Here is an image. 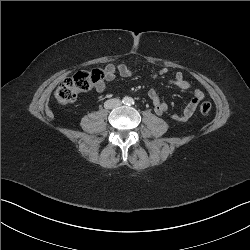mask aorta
<instances>
[{"mask_svg":"<svg viewBox=\"0 0 250 250\" xmlns=\"http://www.w3.org/2000/svg\"><path fill=\"white\" fill-rule=\"evenodd\" d=\"M132 101H133V99H132V98H129V97L126 98V100H125V102L128 103V104H130Z\"/></svg>","mask_w":250,"mask_h":250,"instance_id":"762f6f07","label":"aorta"}]
</instances>
